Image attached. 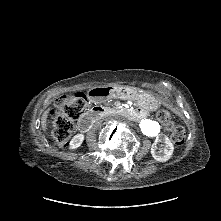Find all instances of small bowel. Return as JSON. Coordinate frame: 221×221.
<instances>
[{
	"label": "small bowel",
	"instance_id": "small-bowel-1",
	"mask_svg": "<svg viewBox=\"0 0 221 221\" xmlns=\"http://www.w3.org/2000/svg\"><path fill=\"white\" fill-rule=\"evenodd\" d=\"M140 116L144 118V117H146V114L143 113V112H141V113H140Z\"/></svg>",
	"mask_w": 221,
	"mask_h": 221
}]
</instances>
